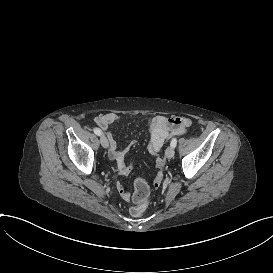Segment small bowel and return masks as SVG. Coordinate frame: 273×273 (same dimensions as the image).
Instances as JSON below:
<instances>
[{
	"mask_svg": "<svg viewBox=\"0 0 273 273\" xmlns=\"http://www.w3.org/2000/svg\"><path fill=\"white\" fill-rule=\"evenodd\" d=\"M120 117L118 114L109 112L100 114L95 117L94 122L99 129H101L108 141L109 156L111 159L117 162L119 170L128 174L134 164L132 161L127 160L126 150L119 148L117 141L115 140L110 127L119 122ZM190 121L187 118L180 116H166V115H156L152 118L151 123L149 124V140L147 144L148 151L156 155L163 147L166 140L172 135H180L184 133L186 127H188ZM162 158H157L156 167ZM161 164V163H160ZM163 176L161 173H156L154 176L153 188L158 190L161 188V180ZM116 190L121 194L125 201L131 200V195L127 189L123 187L122 184L116 185Z\"/></svg>",
	"mask_w": 273,
	"mask_h": 273,
	"instance_id": "small-bowel-1",
	"label": "small bowel"
}]
</instances>
